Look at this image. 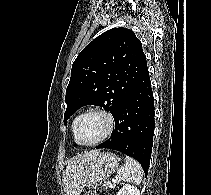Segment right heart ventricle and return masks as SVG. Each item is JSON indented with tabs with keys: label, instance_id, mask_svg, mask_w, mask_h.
Wrapping results in <instances>:
<instances>
[{
	"label": "right heart ventricle",
	"instance_id": "1",
	"mask_svg": "<svg viewBox=\"0 0 211 195\" xmlns=\"http://www.w3.org/2000/svg\"><path fill=\"white\" fill-rule=\"evenodd\" d=\"M79 116L75 117L74 120L72 121V131H73V134L75 133V125H76V122H77V119H78ZM74 139H75V134H74ZM76 141V139H75ZM77 143V141H76Z\"/></svg>",
	"mask_w": 211,
	"mask_h": 195
}]
</instances>
